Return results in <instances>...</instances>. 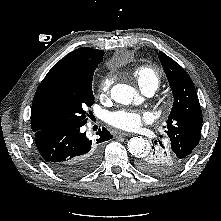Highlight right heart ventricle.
<instances>
[{"label": "right heart ventricle", "mask_w": 221, "mask_h": 221, "mask_svg": "<svg viewBox=\"0 0 221 221\" xmlns=\"http://www.w3.org/2000/svg\"><path fill=\"white\" fill-rule=\"evenodd\" d=\"M133 76L135 77L139 87L154 88L155 90L160 85V74L157 69L149 65H141L133 70Z\"/></svg>", "instance_id": "obj_1"}]
</instances>
